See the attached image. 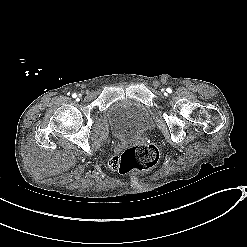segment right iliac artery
Returning <instances> with one entry per match:
<instances>
[{
    "label": "right iliac artery",
    "mask_w": 247,
    "mask_h": 247,
    "mask_svg": "<svg viewBox=\"0 0 247 247\" xmlns=\"http://www.w3.org/2000/svg\"><path fill=\"white\" fill-rule=\"evenodd\" d=\"M72 97H73V98H76V97H77V95L74 93V94H72Z\"/></svg>",
    "instance_id": "right-iliac-artery-1"
}]
</instances>
